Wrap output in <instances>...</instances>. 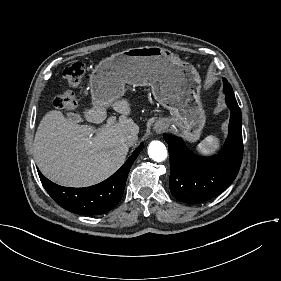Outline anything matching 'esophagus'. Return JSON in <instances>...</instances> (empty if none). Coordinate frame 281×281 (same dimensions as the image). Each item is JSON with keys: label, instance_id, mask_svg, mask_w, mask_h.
<instances>
[{"label": "esophagus", "instance_id": "34e87169", "mask_svg": "<svg viewBox=\"0 0 281 281\" xmlns=\"http://www.w3.org/2000/svg\"><path fill=\"white\" fill-rule=\"evenodd\" d=\"M155 131H156V133H159L161 131V129L157 128Z\"/></svg>", "mask_w": 281, "mask_h": 281}]
</instances>
